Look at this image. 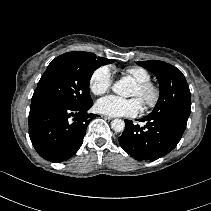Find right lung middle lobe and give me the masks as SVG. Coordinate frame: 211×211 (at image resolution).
Here are the masks:
<instances>
[{
    "label": "right lung middle lobe",
    "mask_w": 211,
    "mask_h": 211,
    "mask_svg": "<svg viewBox=\"0 0 211 211\" xmlns=\"http://www.w3.org/2000/svg\"><path fill=\"white\" fill-rule=\"evenodd\" d=\"M114 61L89 52H68L56 57L38 82L31 104L57 103L76 108L91 104L89 83L93 72Z\"/></svg>",
    "instance_id": "right-lung-middle-lobe-1"
}]
</instances>
